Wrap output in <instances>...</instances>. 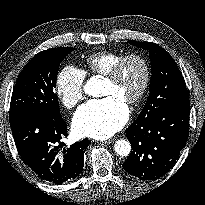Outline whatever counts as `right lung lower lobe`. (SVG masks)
<instances>
[{
    "label": "right lung lower lobe",
    "mask_w": 205,
    "mask_h": 205,
    "mask_svg": "<svg viewBox=\"0 0 205 205\" xmlns=\"http://www.w3.org/2000/svg\"><path fill=\"white\" fill-rule=\"evenodd\" d=\"M9 118L19 155L40 179L62 184L83 171L90 141L84 139L64 148L61 139L68 131L63 118L55 120L30 112L10 113Z\"/></svg>",
    "instance_id": "obj_1"
}]
</instances>
